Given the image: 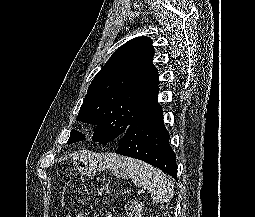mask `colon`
Instances as JSON below:
<instances>
[{
    "instance_id": "obj_1",
    "label": "colon",
    "mask_w": 255,
    "mask_h": 217,
    "mask_svg": "<svg viewBox=\"0 0 255 217\" xmlns=\"http://www.w3.org/2000/svg\"><path fill=\"white\" fill-rule=\"evenodd\" d=\"M127 217H142L143 204L139 200L129 201L126 205Z\"/></svg>"
}]
</instances>
